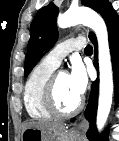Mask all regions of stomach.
<instances>
[{
	"label": "stomach",
	"instance_id": "stomach-1",
	"mask_svg": "<svg viewBox=\"0 0 119 141\" xmlns=\"http://www.w3.org/2000/svg\"><path fill=\"white\" fill-rule=\"evenodd\" d=\"M21 141H81L71 131H47L39 128H27L22 132Z\"/></svg>",
	"mask_w": 119,
	"mask_h": 141
}]
</instances>
